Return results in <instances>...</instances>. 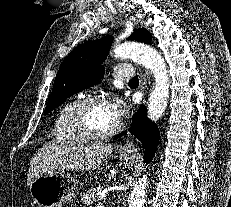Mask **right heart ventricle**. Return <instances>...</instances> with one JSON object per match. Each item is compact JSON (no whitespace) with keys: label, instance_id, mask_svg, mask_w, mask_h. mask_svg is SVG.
<instances>
[{"label":"right heart ventricle","instance_id":"e07e8e85","mask_svg":"<svg viewBox=\"0 0 231 207\" xmlns=\"http://www.w3.org/2000/svg\"><path fill=\"white\" fill-rule=\"evenodd\" d=\"M76 101V98L69 99L60 107L55 116L53 124V135L54 138L58 141L78 142L81 140L70 123V112Z\"/></svg>","mask_w":231,"mask_h":207}]
</instances>
